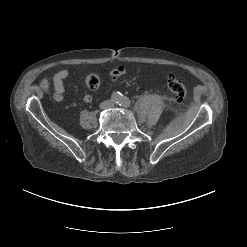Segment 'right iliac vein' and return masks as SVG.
I'll use <instances>...</instances> for the list:
<instances>
[{
  "label": "right iliac vein",
  "instance_id": "63e3f726",
  "mask_svg": "<svg viewBox=\"0 0 247 247\" xmlns=\"http://www.w3.org/2000/svg\"><path fill=\"white\" fill-rule=\"evenodd\" d=\"M106 103L102 104L101 108H105L106 107Z\"/></svg>",
  "mask_w": 247,
  "mask_h": 247
}]
</instances>
